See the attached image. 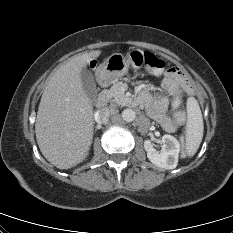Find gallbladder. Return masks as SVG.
I'll use <instances>...</instances> for the list:
<instances>
[{"mask_svg": "<svg viewBox=\"0 0 233 233\" xmlns=\"http://www.w3.org/2000/svg\"><path fill=\"white\" fill-rule=\"evenodd\" d=\"M82 87L91 102H95L97 98V88L92 72L86 68L81 71Z\"/></svg>", "mask_w": 233, "mask_h": 233, "instance_id": "gallbladder-1", "label": "gallbladder"}]
</instances>
